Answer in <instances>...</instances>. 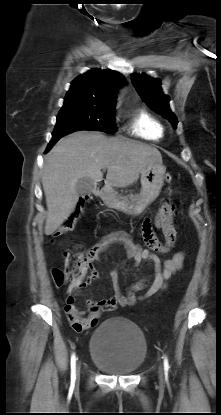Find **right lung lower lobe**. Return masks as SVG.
Returning a JSON list of instances; mask_svg holds the SVG:
<instances>
[{
    "mask_svg": "<svg viewBox=\"0 0 221 415\" xmlns=\"http://www.w3.org/2000/svg\"><path fill=\"white\" fill-rule=\"evenodd\" d=\"M60 139V137H57V138H53L52 137V140H51V142L49 143V145H48V148H47V150H46V152L47 151H49L52 147H53V145L58 141Z\"/></svg>",
    "mask_w": 221,
    "mask_h": 415,
    "instance_id": "obj_1",
    "label": "right lung lower lobe"
}]
</instances>
